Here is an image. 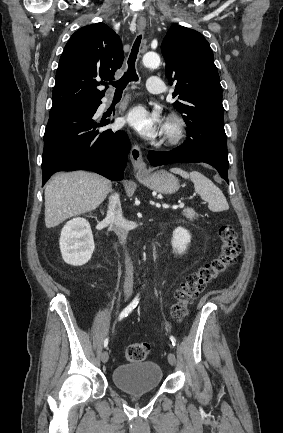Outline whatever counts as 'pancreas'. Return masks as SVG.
I'll return each instance as SVG.
<instances>
[{
    "mask_svg": "<svg viewBox=\"0 0 283 433\" xmlns=\"http://www.w3.org/2000/svg\"><path fill=\"white\" fill-rule=\"evenodd\" d=\"M182 214H185V217H187V219H191V221L197 217V212H195L193 208H184Z\"/></svg>",
    "mask_w": 283,
    "mask_h": 433,
    "instance_id": "pancreas-1",
    "label": "pancreas"
}]
</instances>
